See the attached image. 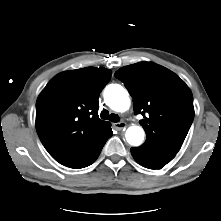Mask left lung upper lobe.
I'll list each match as a JSON object with an SVG mask.
<instances>
[{
  "instance_id": "left-lung-upper-lobe-1",
  "label": "left lung upper lobe",
  "mask_w": 221,
  "mask_h": 221,
  "mask_svg": "<svg viewBox=\"0 0 221 221\" xmlns=\"http://www.w3.org/2000/svg\"><path fill=\"white\" fill-rule=\"evenodd\" d=\"M115 77L132 96L135 113L144 117L140 125L146 142L177 154L194 118L188 86L169 69L150 62L122 67Z\"/></svg>"
}]
</instances>
